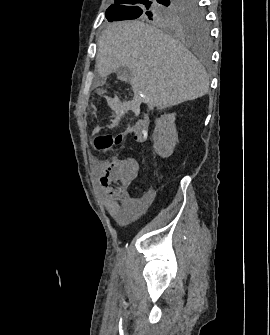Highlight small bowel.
<instances>
[{
	"mask_svg": "<svg viewBox=\"0 0 270 335\" xmlns=\"http://www.w3.org/2000/svg\"><path fill=\"white\" fill-rule=\"evenodd\" d=\"M149 120L143 119L136 123L133 133L139 141L148 137ZM137 151H147V144H137ZM123 165V166H120ZM93 169H98L99 183L103 192V203L110 216L121 224L128 223L138 214L139 200L129 195L127 188L131 178H136L135 169H144L142 158H109L108 154H101L95 158Z\"/></svg>",
	"mask_w": 270,
	"mask_h": 335,
	"instance_id": "obj_1",
	"label": "small bowel"
}]
</instances>
